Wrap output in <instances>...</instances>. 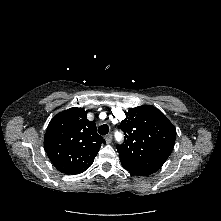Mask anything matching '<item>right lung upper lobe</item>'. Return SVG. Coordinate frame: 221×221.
Segmentation results:
<instances>
[{
    "mask_svg": "<svg viewBox=\"0 0 221 221\" xmlns=\"http://www.w3.org/2000/svg\"><path fill=\"white\" fill-rule=\"evenodd\" d=\"M87 111L73 107L57 114L49 123L44 146L54 166L62 173L75 175L91 166L102 143L96 124Z\"/></svg>",
    "mask_w": 221,
    "mask_h": 221,
    "instance_id": "1",
    "label": "right lung upper lobe"
}]
</instances>
